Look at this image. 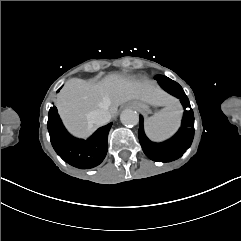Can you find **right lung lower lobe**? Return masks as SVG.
<instances>
[{
	"mask_svg": "<svg viewBox=\"0 0 241 241\" xmlns=\"http://www.w3.org/2000/svg\"><path fill=\"white\" fill-rule=\"evenodd\" d=\"M47 126L54 150L71 166L90 169L104 160L108 149V133L112 123L99 128L87 140L77 139L67 132L58 115L57 108L54 106L49 110Z\"/></svg>",
	"mask_w": 241,
	"mask_h": 241,
	"instance_id": "98d812e1",
	"label": "right lung lower lobe"
}]
</instances>
